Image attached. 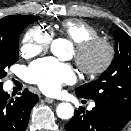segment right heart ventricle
I'll list each match as a JSON object with an SVG mask.
<instances>
[{
	"label": "right heart ventricle",
	"mask_w": 131,
	"mask_h": 131,
	"mask_svg": "<svg viewBox=\"0 0 131 131\" xmlns=\"http://www.w3.org/2000/svg\"><path fill=\"white\" fill-rule=\"evenodd\" d=\"M60 32L75 44L98 36V30L92 24L80 19H66L60 25Z\"/></svg>",
	"instance_id": "right-heart-ventricle-1"
}]
</instances>
